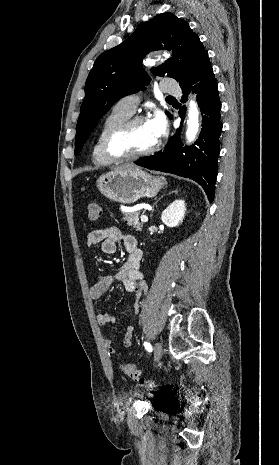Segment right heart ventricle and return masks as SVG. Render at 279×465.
Here are the masks:
<instances>
[{
    "mask_svg": "<svg viewBox=\"0 0 279 465\" xmlns=\"http://www.w3.org/2000/svg\"><path fill=\"white\" fill-rule=\"evenodd\" d=\"M132 116V113L124 110L118 104H116L109 114L104 118L99 131L97 133V137L93 146L92 150V161L94 164L99 166H106L111 164L113 161L107 159L102 152V141L105 134L115 125L118 123L128 119Z\"/></svg>",
    "mask_w": 279,
    "mask_h": 465,
    "instance_id": "e07e8e85",
    "label": "right heart ventricle"
}]
</instances>
